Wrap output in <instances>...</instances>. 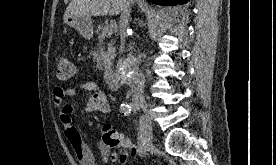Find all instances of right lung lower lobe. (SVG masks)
I'll use <instances>...</instances> for the list:
<instances>
[{
	"mask_svg": "<svg viewBox=\"0 0 276 165\" xmlns=\"http://www.w3.org/2000/svg\"><path fill=\"white\" fill-rule=\"evenodd\" d=\"M148 1L159 5H177V4H184L188 0H148Z\"/></svg>",
	"mask_w": 276,
	"mask_h": 165,
	"instance_id": "1",
	"label": "right lung lower lobe"
}]
</instances>
